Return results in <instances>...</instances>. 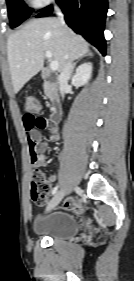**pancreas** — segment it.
<instances>
[{
    "label": "pancreas",
    "mask_w": 134,
    "mask_h": 281,
    "mask_svg": "<svg viewBox=\"0 0 134 281\" xmlns=\"http://www.w3.org/2000/svg\"><path fill=\"white\" fill-rule=\"evenodd\" d=\"M44 92H45V95L49 98H53L54 97V92L51 88V86L49 84H45L44 85Z\"/></svg>",
    "instance_id": "obj_1"
}]
</instances>
